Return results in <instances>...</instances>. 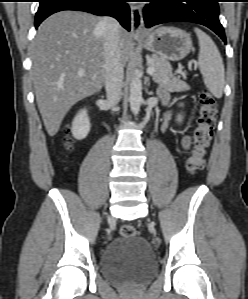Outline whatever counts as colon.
Wrapping results in <instances>:
<instances>
[{"mask_svg":"<svg viewBox=\"0 0 248 299\" xmlns=\"http://www.w3.org/2000/svg\"><path fill=\"white\" fill-rule=\"evenodd\" d=\"M199 104L197 123L193 132L192 149L186 161V169L191 174L200 172L204 167V157L213 134L217 116V102L209 91H201ZM64 149L69 151L71 144L66 143ZM120 234L123 237H134L137 235V231L131 225H123L120 228Z\"/></svg>","mask_w":248,"mask_h":299,"instance_id":"obj_1","label":"colon"}]
</instances>
